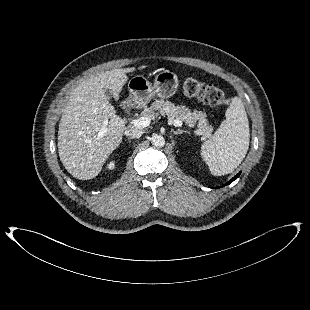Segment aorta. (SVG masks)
Returning <instances> with one entry per match:
<instances>
[{
  "mask_svg": "<svg viewBox=\"0 0 310 310\" xmlns=\"http://www.w3.org/2000/svg\"><path fill=\"white\" fill-rule=\"evenodd\" d=\"M151 142L153 146L158 147V148L163 147L165 145L164 137L161 135H157V134L152 136Z\"/></svg>",
  "mask_w": 310,
  "mask_h": 310,
  "instance_id": "762f6f07",
  "label": "aorta"
}]
</instances>
